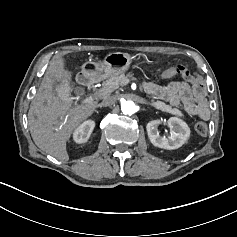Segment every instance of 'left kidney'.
<instances>
[{
    "mask_svg": "<svg viewBox=\"0 0 237 237\" xmlns=\"http://www.w3.org/2000/svg\"><path fill=\"white\" fill-rule=\"evenodd\" d=\"M170 127V138L159 135L158 126L161 124L160 119L152 120L147 123L146 130L151 143L159 148L175 150L180 148L188 139L190 129L188 125L179 118L171 117L167 121Z\"/></svg>",
    "mask_w": 237,
    "mask_h": 237,
    "instance_id": "1",
    "label": "left kidney"
}]
</instances>
